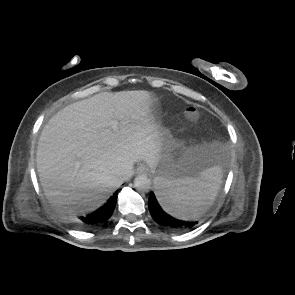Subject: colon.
<instances>
[{
  "label": "colon",
  "instance_id": "colon-1",
  "mask_svg": "<svg viewBox=\"0 0 295 295\" xmlns=\"http://www.w3.org/2000/svg\"><path fill=\"white\" fill-rule=\"evenodd\" d=\"M185 116L190 121H196L198 119L199 113L195 107H188L185 110Z\"/></svg>",
  "mask_w": 295,
  "mask_h": 295
}]
</instances>
